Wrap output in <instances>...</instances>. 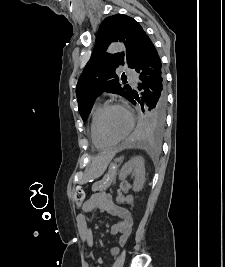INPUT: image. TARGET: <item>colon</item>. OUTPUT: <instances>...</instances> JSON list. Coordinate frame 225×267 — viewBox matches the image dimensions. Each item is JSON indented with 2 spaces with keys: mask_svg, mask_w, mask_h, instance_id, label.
I'll list each match as a JSON object with an SVG mask.
<instances>
[{
  "mask_svg": "<svg viewBox=\"0 0 225 267\" xmlns=\"http://www.w3.org/2000/svg\"><path fill=\"white\" fill-rule=\"evenodd\" d=\"M85 199L84 190L81 187H76L73 191V200L77 207H80Z\"/></svg>",
  "mask_w": 225,
  "mask_h": 267,
  "instance_id": "1",
  "label": "colon"
}]
</instances>
